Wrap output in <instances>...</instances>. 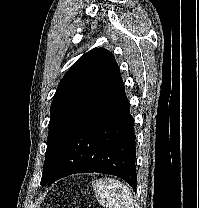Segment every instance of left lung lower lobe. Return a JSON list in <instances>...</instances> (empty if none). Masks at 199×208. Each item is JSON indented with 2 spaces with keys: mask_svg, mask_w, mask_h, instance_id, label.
Masks as SVG:
<instances>
[{
  "mask_svg": "<svg viewBox=\"0 0 199 208\" xmlns=\"http://www.w3.org/2000/svg\"><path fill=\"white\" fill-rule=\"evenodd\" d=\"M123 83L77 128L46 184L74 173L116 175L137 187L135 132Z\"/></svg>",
  "mask_w": 199,
  "mask_h": 208,
  "instance_id": "left-lung-lower-lobe-1",
  "label": "left lung lower lobe"
}]
</instances>
